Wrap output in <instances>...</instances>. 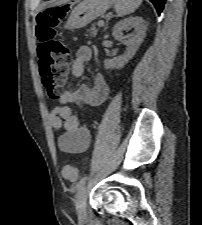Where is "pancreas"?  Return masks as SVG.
Returning a JSON list of instances; mask_svg holds the SVG:
<instances>
[{"label": "pancreas", "mask_w": 202, "mask_h": 225, "mask_svg": "<svg viewBox=\"0 0 202 225\" xmlns=\"http://www.w3.org/2000/svg\"><path fill=\"white\" fill-rule=\"evenodd\" d=\"M89 31H90V36L95 37L97 35L98 29L96 28L95 25H93Z\"/></svg>", "instance_id": "cf45deb5"}]
</instances>
